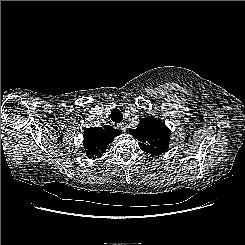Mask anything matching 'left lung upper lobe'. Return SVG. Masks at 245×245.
Wrapping results in <instances>:
<instances>
[{"mask_svg":"<svg viewBox=\"0 0 245 245\" xmlns=\"http://www.w3.org/2000/svg\"><path fill=\"white\" fill-rule=\"evenodd\" d=\"M129 133L139 141V147L144 152L153 156L164 153L168 149L170 130L154 117L141 119L137 128L130 129Z\"/></svg>","mask_w":245,"mask_h":245,"instance_id":"left-lung-upper-lobe-1","label":"left lung upper lobe"}]
</instances>
